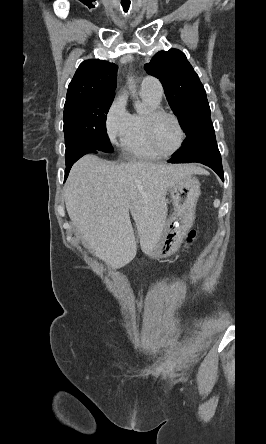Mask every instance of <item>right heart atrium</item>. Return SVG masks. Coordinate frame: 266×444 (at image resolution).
I'll list each match as a JSON object with an SVG mask.
<instances>
[{
	"label": "right heart atrium",
	"instance_id": "d8ad5b80",
	"mask_svg": "<svg viewBox=\"0 0 266 444\" xmlns=\"http://www.w3.org/2000/svg\"><path fill=\"white\" fill-rule=\"evenodd\" d=\"M129 113L126 109V100L123 95H118L108 109L105 118V132L112 144L122 140L128 120Z\"/></svg>",
	"mask_w": 266,
	"mask_h": 444
}]
</instances>
